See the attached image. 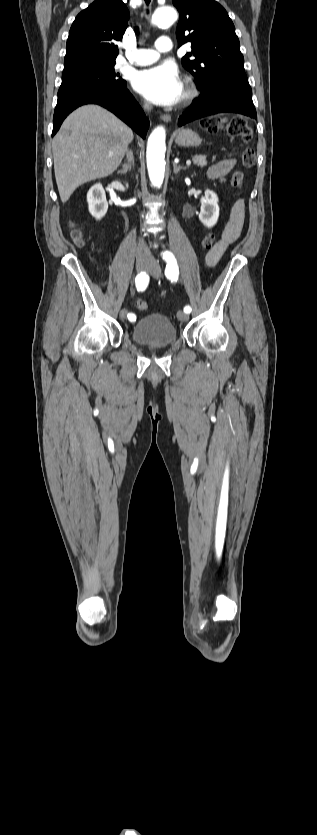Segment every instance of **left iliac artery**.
<instances>
[{
	"instance_id": "left-iliac-artery-1",
	"label": "left iliac artery",
	"mask_w": 317,
	"mask_h": 835,
	"mask_svg": "<svg viewBox=\"0 0 317 835\" xmlns=\"http://www.w3.org/2000/svg\"><path fill=\"white\" fill-rule=\"evenodd\" d=\"M162 257L167 263L165 268L166 277L171 280V282H176L179 276V268L175 256L172 252L166 250L162 253ZM191 310L192 309L189 305L185 306L183 309L185 313H190Z\"/></svg>"
}]
</instances>
